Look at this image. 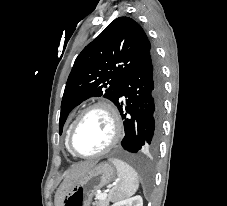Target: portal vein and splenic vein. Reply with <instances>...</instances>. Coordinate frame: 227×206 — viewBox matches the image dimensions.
Segmentation results:
<instances>
[{"mask_svg":"<svg viewBox=\"0 0 227 206\" xmlns=\"http://www.w3.org/2000/svg\"><path fill=\"white\" fill-rule=\"evenodd\" d=\"M113 185H109L108 188L112 187ZM97 197L99 199H105L107 197L106 193H98Z\"/></svg>","mask_w":227,"mask_h":206,"instance_id":"portal-vein-and-splenic-vein-1","label":"portal vein and splenic vein"}]
</instances>
